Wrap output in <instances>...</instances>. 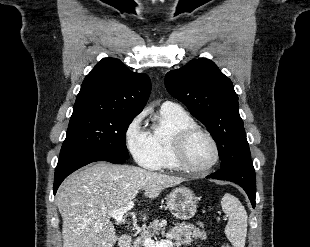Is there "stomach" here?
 <instances>
[{"mask_svg":"<svg viewBox=\"0 0 310 247\" xmlns=\"http://www.w3.org/2000/svg\"><path fill=\"white\" fill-rule=\"evenodd\" d=\"M166 205L176 218L188 220L196 213L197 198L191 189L177 187L168 194Z\"/></svg>","mask_w":310,"mask_h":247,"instance_id":"stomach-1","label":"stomach"}]
</instances>
